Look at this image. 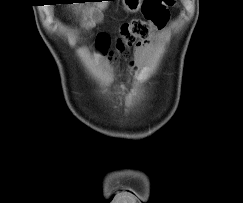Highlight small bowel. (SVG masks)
I'll list each match as a JSON object with an SVG mask.
<instances>
[{
  "instance_id": "1",
  "label": "small bowel",
  "mask_w": 243,
  "mask_h": 203,
  "mask_svg": "<svg viewBox=\"0 0 243 203\" xmlns=\"http://www.w3.org/2000/svg\"><path fill=\"white\" fill-rule=\"evenodd\" d=\"M161 41L160 35H155L153 38H146L139 42L135 48V57L137 60H143ZM132 71H135V67H132Z\"/></svg>"
}]
</instances>
